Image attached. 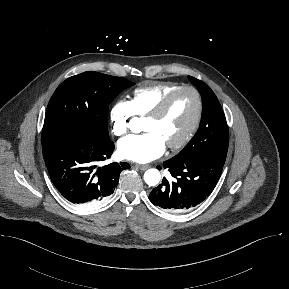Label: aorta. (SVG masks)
<instances>
[{
	"label": "aorta",
	"mask_w": 289,
	"mask_h": 289,
	"mask_svg": "<svg viewBox=\"0 0 289 289\" xmlns=\"http://www.w3.org/2000/svg\"><path fill=\"white\" fill-rule=\"evenodd\" d=\"M144 180L149 186H155L161 180L160 172L157 169H148L144 174Z\"/></svg>",
	"instance_id": "aorta-1"
}]
</instances>
